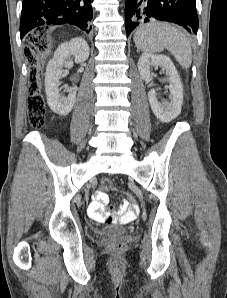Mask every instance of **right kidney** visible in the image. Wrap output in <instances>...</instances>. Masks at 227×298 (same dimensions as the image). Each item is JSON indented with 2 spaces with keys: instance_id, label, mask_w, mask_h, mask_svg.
Instances as JSON below:
<instances>
[{
  "instance_id": "1",
  "label": "right kidney",
  "mask_w": 227,
  "mask_h": 298,
  "mask_svg": "<svg viewBox=\"0 0 227 298\" xmlns=\"http://www.w3.org/2000/svg\"><path fill=\"white\" fill-rule=\"evenodd\" d=\"M89 46L80 37L62 43L56 49L53 58L48 62L45 73V91L50 109L61 115H68L76 100V91H71L67 97L60 94L59 80L64 76L63 65L71 57L75 62L81 63L89 57Z\"/></svg>"
}]
</instances>
